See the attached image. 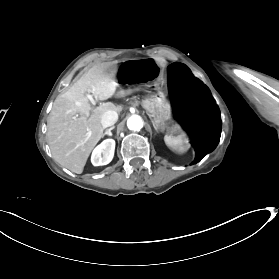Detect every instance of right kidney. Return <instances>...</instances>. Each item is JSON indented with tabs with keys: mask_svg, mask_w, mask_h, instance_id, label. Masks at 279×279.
Wrapping results in <instances>:
<instances>
[{
	"mask_svg": "<svg viewBox=\"0 0 279 279\" xmlns=\"http://www.w3.org/2000/svg\"><path fill=\"white\" fill-rule=\"evenodd\" d=\"M115 141L106 139L99 144L92 152L91 162L94 166H102L109 164L114 156Z\"/></svg>",
	"mask_w": 279,
	"mask_h": 279,
	"instance_id": "obj_1",
	"label": "right kidney"
}]
</instances>
